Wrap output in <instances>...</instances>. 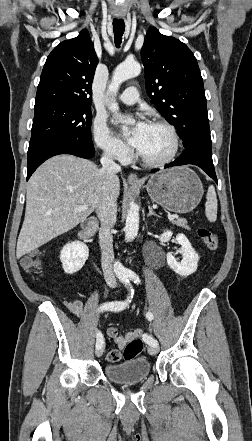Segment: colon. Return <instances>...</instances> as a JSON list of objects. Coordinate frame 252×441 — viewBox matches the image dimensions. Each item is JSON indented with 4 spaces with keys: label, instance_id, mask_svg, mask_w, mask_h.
<instances>
[{
    "label": "colon",
    "instance_id": "colon-1",
    "mask_svg": "<svg viewBox=\"0 0 252 441\" xmlns=\"http://www.w3.org/2000/svg\"><path fill=\"white\" fill-rule=\"evenodd\" d=\"M198 236L203 241L205 246L210 250H216L219 244L217 235L210 229L206 227H201L197 231ZM21 265L26 271H34L38 268L39 261L35 253H31L25 256L21 260ZM143 349V342L141 339L136 338L130 341L123 352L117 349H112L107 354V360L112 363H117L123 357L124 359H131L140 354Z\"/></svg>",
    "mask_w": 252,
    "mask_h": 441
}]
</instances>
